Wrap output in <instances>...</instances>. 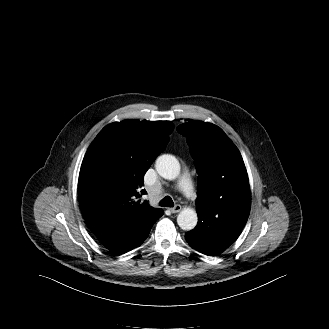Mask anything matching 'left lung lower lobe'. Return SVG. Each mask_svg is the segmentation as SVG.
<instances>
[{"instance_id": "1", "label": "left lung lower lobe", "mask_w": 329, "mask_h": 329, "mask_svg": "<svg viewBox=\"0 0 329 329\" xmlns=\"http://www.w3.org/2000/svg\"><path fill=\"white\" fill-rule=\"evenodd\" d=\"M243 227L227 224L225 230L213 236L200 234L194 229L185 234V239L197 251L216 256L227 249L240 235Z\"/></svg>"}]
</instances>
